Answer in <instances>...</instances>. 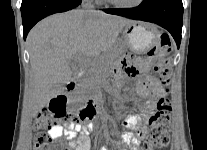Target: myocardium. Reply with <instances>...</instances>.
<instances>
[{"instance_id":"myocardium-1","label":"myocardium","mask_w":207,"mask_h":150,"mask_svg":"<svg viewBox=\"0 0 207 150\" xmlns=\"http://www.w3.org/2000/svg\"><path fill=\"white\" fill-rule=\"evenodd\" d=\"M109 4L113 5L114 7L120 8V9H134L139 7L144 3V0H136L135 2L131 4H123L119 3L115 0H106Z\"/></svg>"}]
</instances>
